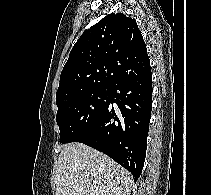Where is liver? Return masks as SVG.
Instances as JSON below:
<instances>
[{
    "instance_id": "6515ba94",
    "label": "liver",
    "mask_w": 211,
    "mask_h": 195,
    "mask_svg": "<svg viewBox=\"0 0 211 195\" xmlns=\"http://www.w3.org/2000/svg\"><path fill=\"white\" fill-rule=\"evenodd\" d=\"M131 173L78 142L64 145L55 171V195H130Z\"/></svg>"
}]
</instances>
